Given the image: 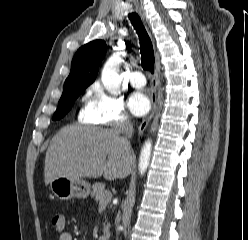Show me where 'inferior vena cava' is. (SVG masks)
Segmentation results:
<instances>
[{
	"instance_id": "1",
	"label": "inferior vena cava",
	"mask_w": 248,
	"mask_h": 240,
	"mask_svg": "<svg viewBox=\"0 0 248 240\" xmlns=\"http://www.w3.org/2000/svg\"><path fill=\"white\" fill-rule=\"evenodd\" d=\"M114 131L116 133H122L125 135V140L127 142L128 145H130V142L128 141L129 138L132 137L133 134V126L130 123L129 120L123 119L120 120L116 126L114 127Z\"/></svg>"
}]
</instances>
